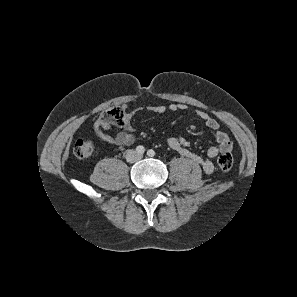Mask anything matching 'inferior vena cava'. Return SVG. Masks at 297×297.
<instances>
[{
	"label": "inferior vena cava",
	"mask_w": 297,
	"mask_h": 297,
	"mask_svg": "<svg viewBox=\"0 0 297 297\" xmlns=\"http://www.w3.org/2000/svg\"><path fill=\"white\" fill-rule=\"evenodd\" d=\"M141 159V155L136 151H128L126 155L127 162H136Z\"/></svg>",
	"instance_id": "inferior-vena-cava-1"
}]
</instances>
